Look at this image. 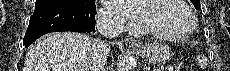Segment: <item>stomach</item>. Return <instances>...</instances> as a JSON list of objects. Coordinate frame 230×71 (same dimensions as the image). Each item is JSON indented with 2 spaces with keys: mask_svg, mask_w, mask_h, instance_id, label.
<instances>
[{
  "mask_svg": "<svg viewBox=\"0 0 230 71\" xmlns=\"http://www.w3.org/2000/svg\"><path fill=\"white\" fill-rule=\"evenodd\" d=\"M138 54L149 63L164 64L172 56L171 49L161 43L148 44L139 49Z\"/></svg>",
  "mask_w": 230,
  "mask_h": 71,
  "instance_id": "0dacf381",
  "label": "stomach"
}]
</instances>
